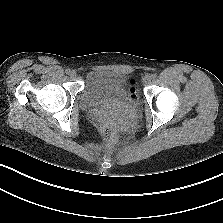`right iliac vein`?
Returning a JSON list of instances; mask_svg holds the SVG:
<instances>
[{"instance_id": "obj_1", "label": "right iliac vein", "mask_w": 223, "mask_h": 223, "mask_svg": "<svg viewBox=\"0 0 223 223\" xmlns=\"http://www.w3.org/2000/svg\"><path fill=\"white\" fill-rule=\"evenodd\" d=\"M69 75H70L71 77L76 76V71L72 70V71L69 73Z\"/></svg>"}]
</instances>
